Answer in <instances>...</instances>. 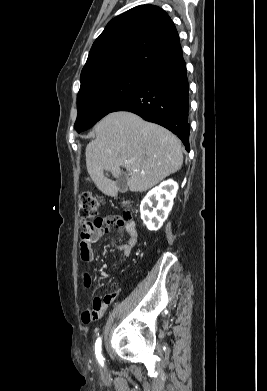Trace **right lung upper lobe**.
<instances>
[{"label": "right lung upper lobe", "instance_id": "cb5924a9", "mask_svg": "<svg viewBox=\"0 0 267 391\" xmlns=\"http://www.w3.org/2000/svg\"><path fill=\"white\" fill-rule=\"evenodd\" d=\"M183 55L178 32L168 14L140 5L113 18L95 40L82 69L81 85L105 73H149Z\"/></svg>", "mask_w": 267, "mask_h": 391}]
</instances>
